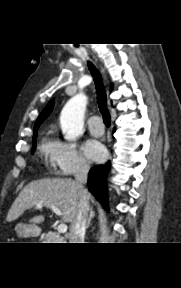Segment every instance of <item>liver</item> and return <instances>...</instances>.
<instances>
[{"instance_id":"1","label":"liver","mask_w":181,"mask_h":288,"mask_svg":"<svg viewBox=\"0 0 181 288\" xmlns=\"http://www.w3.org/2000/svg\"><path fill=\"white\" fill-rule=\"evenodd\" d=\"M88 200L92 199L87 192ZM79 188L72 179H40L32 181L24 187L12 204L6 220L12 222L18 219L26 209L36 206L37 203L55 205L58 207L63 222L72 223L77 216L79 203ZM46 206V205H45ZM44 221L43 215H38L29 220L31 226Z\"/></svg>"}]
</instances>
